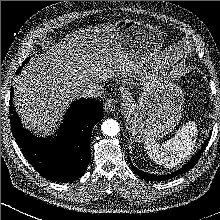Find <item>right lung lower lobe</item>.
Listing matches in <instances>:
<instances>
[{
    "label": "right lung lower lobe",
    "mask_w": 220,
    "mask_h": 220,
    "mask_svg": "<svg viewBox=\"0 0 220 220\" xmlns=\"http://www.w3.org/2000/svg\"><path fill=\"white\" fill-rule=\"evenodd\" d=\"M9 110L13 136L24 157L38 173L57 182L72 181L84 174L91 158L92 130L104 116L101 103L89 98L74 101L57 136L51 139L35 137L23 128L12 105Z\"/></svg>",
    "instance_id": "98d812e1"
}]
</instances>
